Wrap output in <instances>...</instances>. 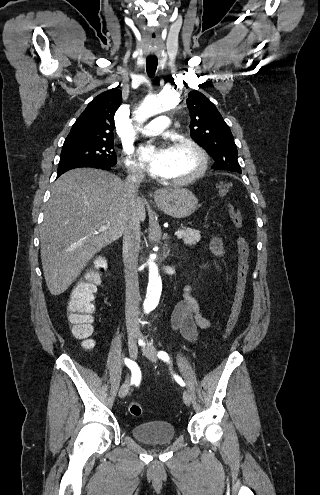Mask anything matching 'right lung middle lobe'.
<instances>
[{"label": "right lung middle lobe", "mask_w": 320, "mask_h": 495, "mask_svg": "<svg viewBox=\"0 0 320 495\" xmlns=\"http://www.w3.org/2000/svg\"><path fill=\"white\" fill-rule=\"evenodd\" d=\"M113 141H65L62 147L58 172L88 164L116 165L117 156Z\"/></svg>", "instance_id": "dd1d6c3e"}]
</instances>
